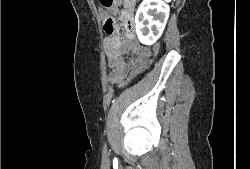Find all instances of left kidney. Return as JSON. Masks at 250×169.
<instances>
[{
	"mask_svg": "<svg viewBox=\"0 0 250 169\" xmlns=\"http://www.w3.org/2000/svg\"><path fill=\"white\" fill-rule=\"evenodd\" d=\"M169 4L164 0H142L135 14L136 34L143 44H153L160 38L168 20ZM152 14H157L156 18ZM147 26V30L145 28ZM153 26L155 30H153Z\"/></svg>",
	"mask_w": 250,
	"mask_h": 169,
	"instance_id": "5707ae66",
	"label": "left kidney"
}]
</instances>
